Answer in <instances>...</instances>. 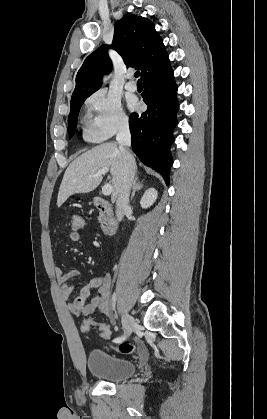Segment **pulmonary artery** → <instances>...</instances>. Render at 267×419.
Returning <instances> with one entry per match:
<instances>
[{"label": "pulmonary artery", "instance_id": "1", "mask_svg": "<svg viewBox=\"0 0 267 419\" xmlns=\"http://www.w3.org/2000/svg\"><path fill=\"white\" fill-rule=\"evenodd\" d=\"M133 74L130 72L127 74L128 82L125 84V88L128 91H136L137 85L136 82L132 80Z\"/></svg>", "mask_w": 267, "mask_h": 419}]
</instances>
